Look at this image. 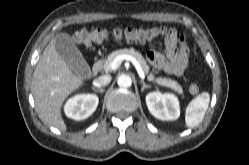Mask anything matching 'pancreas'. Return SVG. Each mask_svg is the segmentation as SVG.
<instances>
[{
	"instance_id": "obj_1",
	"label": "pancreas",
	"mask_w": 249,
	"mask_h": 165,
	"mask_svg": "<svg viewBox=\"0 0 249 165\" xmlns=\"http://www.w3.org/2000/svg\"><path fill=\"white\" fill-rule=\"evenodd\" d=\"M119 55H130V56L134 57L140 63L143 71L145 72V74L148 75V79L150 81H152L153 83H157L161 86L171 88V89L175 90L176 92H178L180 95H183L182 87L178 84V82L173 81L169 78H165V77L164 78L163 77L155 78L154 74L152 72H150V66L147 64V61L144 59V57L141 55V53H139L138 51H136L133 48L120 49V50H116V51L112 52L111 54L108 55V57L104 61L102 68L106 72L110 71V64Z\"/></svg>"
}]
</instances>
